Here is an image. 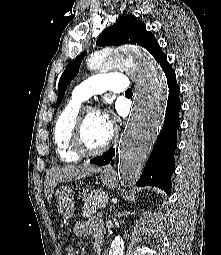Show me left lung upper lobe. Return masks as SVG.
<instances>
[{"label": "left lung upper lobe", "mask_w": 221, "mask_h": 255, "mask_svg": "<svg viewBox=\"0 0 221 255\" xmlns=\"http://www.w3.org/2000/svg\"><path fill=\"white\" fill-rule=\"evenodd\" d=\"M145 24L138 21L133 15L120 16L116 23L106 28L97 40L98 46H119L123 44H137L146 48L154 55L160 46L154 35L147 31ZM86 55V51L81 53L63 72L58 84V99L56 107H58L65 94V89L71 80L78 74L80 64Z\"/></svg>", "instance_id": "obj_1"}]
</instances>
